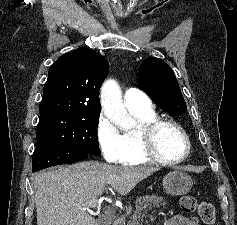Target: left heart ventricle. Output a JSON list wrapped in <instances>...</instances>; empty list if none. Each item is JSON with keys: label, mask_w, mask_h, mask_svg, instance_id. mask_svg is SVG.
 Returning <instances> with one entry per match:
<instances>
[{"label": "left heart ventricle", "mask_w": 237, "mask_h": 225, "mask_svg": "<svg viewBox=\"0 0 237 225\" xmlns=\"http://www.w3.org/2000/svg\"><path fill=\"white\" fill-rule=\"evenodd\" d=\"M157 146L160 154L167 159H177L186 152L182 135L171 127H164L157 135Z\"/></svg>", "instance_id": "obj_1"}]
</instances>
